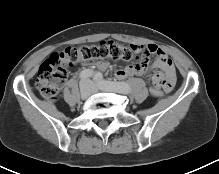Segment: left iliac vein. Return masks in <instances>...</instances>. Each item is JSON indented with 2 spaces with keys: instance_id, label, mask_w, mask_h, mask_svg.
I'll list each match as a JSON object with an SVG mask.
<instances>
[{
  "instance_id": "4c4485c4",
  "label": "left iliac vein",
  "mask_w": 219,
  "mask_h": 174,
  "mask_svg": "<svg viewBox=\"0 0 219 174\" xmlns=\"http://www.w3.org/2000/svg\"><path fill=\"white\" fill-rule=\"evenodd\" d=\"M89 84H91L90 82H89ZM103 90V91H112V92H116V91H114V90H112V89H110V88H107V87H101V86H92V92L93 93H95V92H97L98 90Z\"/></svg>"
}]
</instances>
